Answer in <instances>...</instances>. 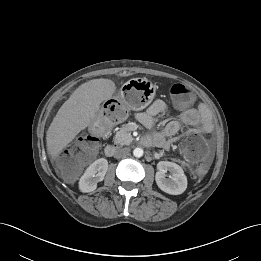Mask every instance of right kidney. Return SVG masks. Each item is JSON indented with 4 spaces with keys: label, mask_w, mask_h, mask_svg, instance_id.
I'll return each mask as SVG.
<instances>
[{
    "label": "right kidney",
    "mask_w": 261,
    "mask_h": 261,
    "mask_svg": "<svg viewBox=\"0 0 261 261\" xmlns=\"http://www.w3.org/2000/svg\"><path fill=\"white\" fill-rule=\"evenodd\" d=\"M108 169V161L100 158L94 161L84 172L79 181V189L82 192H91L97 188V184L103 181Z\"/></svg>",
    "instance_id": "obj_1"
}]
</instances>
